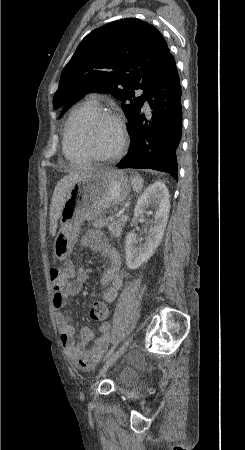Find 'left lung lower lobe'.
Segmentation results:
<instances>
[{"mask_svg":"<svg viewBox=\"0 0 245 450\" xmlns=\"http://www.w3.org/2000/svg\"><path fill=\"white\" fill-rule=\"evenodd\" d=\"M151 114L139 111L128 128L129 153L118 168L154 169L177 180V153L182 133L181 86L174 57L171 56L147 88L144 101Z\"/></svg>","mask_w":245,"mask_h":450,"instance_id":"left-lung-lower-lobe-1","label":"left lung lower lobe"}]
</instances>
